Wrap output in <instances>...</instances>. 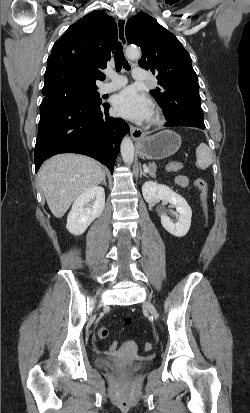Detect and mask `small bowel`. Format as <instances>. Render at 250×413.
<instances>
[{"label": "small bowel", "mask_w": 250, "mask_h": 413, "mask_svg": "<svg viewBox=\"0 0 250 413\" xmlns=\"http://www.w3.org/2000/svg\"><path fill=\"white\" fill-rule=\"evenodd\" d=\"M176 183L180 186V187H186L189 183V180L187 177L185 176H178L176 178Z\"/></svg>", "instance_id": "1"}]
</instances>
